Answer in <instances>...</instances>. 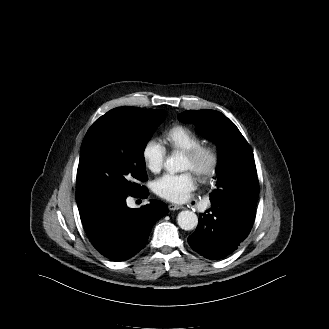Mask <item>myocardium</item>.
Segmentation results:
<instances>
[{"label":"myocardium","mask_w":329,"mask_h":329,"mask_svg":"<svg viewBox=\"0 0 329 329\" xmlns=\"http://www.w3.org/2000/svg\"><path fill=\"white\" fill-rule=\"evenodd\" d=\"M194 164V173L200 180L213 177L220 164V155L217 147L213 144H200L184 152Z\"/></svg>","instance_id":"f54148a6"}]
</instances>
